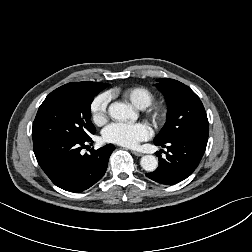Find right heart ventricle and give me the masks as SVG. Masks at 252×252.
<instances>
[{
	"label": "right heart ventricle",
	"instance_id": "e07e8e85",
	"mask_svg": "<svg viewBox=\"0 0 252 252\" xmlns=\"http://www.w3.org/2000/svg\"><path fill=\"white\" fill-rule=\"evenodd\" d=\"M113 93V92H112ZM124 98L129 100L135 107L145 109L150 106L155 96L151 90L143 86H135L122 92Z\"/></svg>",
	"mask_w": 252,
	"mask_h": 252
}]
</instances>
